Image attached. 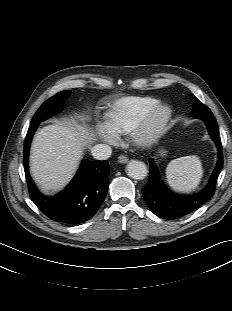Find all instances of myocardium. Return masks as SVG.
Listing matches in <instances>:
<instances>
[{"mask_svg":"<svg viewBox=\"0 0 232 311\" xmlns=\"http://www.w3.org/2000/svg\"><path fill=\"white\" fill-rule=\"evenodd\" d=\"M172 110L166 104H157L147 111L131 130V137L137 145L151 144L165 129Z\"/></svg>","mask_w":232,"mask_h":311,"instance_id":"1","label":"myocardium"}]
</instances>
